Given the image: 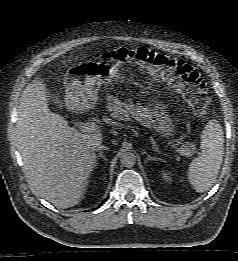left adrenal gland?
Returning <instances> with one entry per match:
<instances>
[{
    "mask_svg": "<svg viewBox=\"0 0 238 261\" xmlns=\"http://www.w3.org/2000/svg\"><path fill=\"white\" fill-rule=\"evenodd\" d=\"M146 155L145 163L148 161L158 160V158L150 156L147 152H143Z\"/></svg>",
    "mask_w": 238,
    "mask_h": 261,
    "instance_id": "a2214340",
    "label": "left adrenal gland"
}]
</instances>
